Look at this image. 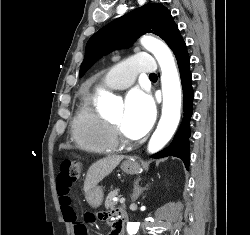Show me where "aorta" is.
<instances>
[{
    "label": "aorta",
    "mask_w": 250,
    "mask_h": 235,
    "mask_svg": "<svg viewBox=\"0 0 250 235\" xmlns=\"http://www.w3.org/2000/svg\"><path fill=\"white\" fill-rule=\"evenodd\" d=\"M140 42L155 56L162 72V116L148 144V151L156 153L168 143L178 126L181 109V85L173 55L168 46L162 41L149 36L142 37ZM105 98L111 104L116 105L118 103L112 95H107ZM139 225V222H128V235L137 234Z\"/></svg>",
    "instance_id": "762f6f07"
}]
</instances>
